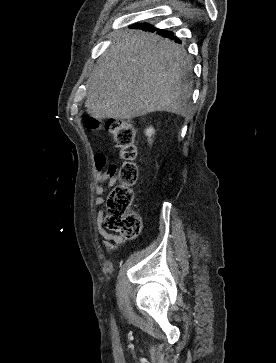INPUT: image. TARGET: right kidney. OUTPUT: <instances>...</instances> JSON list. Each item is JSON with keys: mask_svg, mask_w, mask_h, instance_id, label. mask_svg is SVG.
<instances>
[{"mask_svg": "<svg viewBox=\"0 0 276 363\" xmlns=\"http://www.w3.org/2000/svg\"><path fill=\"white\" fill-rule=\"evenodd\" d=\"M154 133H155V130L153 127H148L145 130V135L148 137V141H151V137L154 135Z\"/></svg>", "mask_w": 276, "mask_h": 363, "instance_id": "obj_1", "label": "right kidney"}]
</instances>
